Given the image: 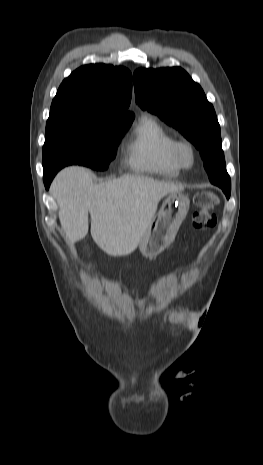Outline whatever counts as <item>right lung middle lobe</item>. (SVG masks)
<instances>
[{"instance_id": "obj_1", "label": "right lung middle lobe", "mask_w": 263, "mask_h": 465, "mask_svg": "<svg viewBox=\"0 0 263 465\" xmlns=\"http://www.w3.org/2000/svg\"><path fill=\"white\" fill-rule=\"evenodd\" d=\"M133 117L82 108L51 109L43 146V169L56 173L79 164L105 170L116 156Z\"/></svg>"}]
</instances>
